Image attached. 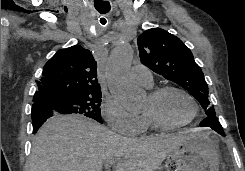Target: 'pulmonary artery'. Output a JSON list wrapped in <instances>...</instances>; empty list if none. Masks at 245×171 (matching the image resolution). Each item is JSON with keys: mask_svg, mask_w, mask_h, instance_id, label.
Masks as SVG:
<instances>
[{"mask_svg": "<svg viewBox=\"0 0 245 171\" xmlns=\"http://www.w3.org/2000/svg\"><path fill=\"white\" fill-rule=\"evenodd\" d=\"M132 79L139 85L151 88L153 85V75L150 69L144 65L136 64L131 69Z\"/></svg>", "mask_w": 245, "mask_h": 171, "instance_id": "e3ab8cb5", "label": "pulmonary artery"}]
</instances>
